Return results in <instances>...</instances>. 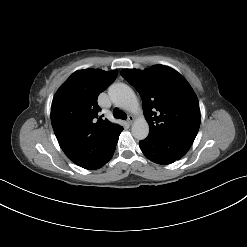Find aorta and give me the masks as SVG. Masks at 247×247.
Returning <instances> with one entry per match:
<instances>
[{
	"instance_id": "obj_1",
	"label": "aorta",
	"mask_w": 247,
	"mask_h": 247,
	"mask_svg": "<svg viewBox=\"0 0 247 247\" xmlns=\"http://www.w3.org/2000/svg\"><path fill=\"white\" fill-rule=\"evenodd\" d=\"M109 96L112 102L124 110L136 113L140 107L134 91L124 83H117L110 87ZM132 135L137 140H143L148 136L149 126L144 118L136 119L131 128Z\"/></svg>"
}]
</instances>
